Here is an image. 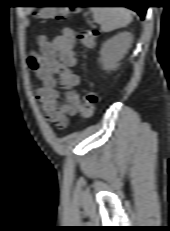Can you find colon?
Listing matches in <instances>:
<instances>
[{"instance_id": "5ec220e1", "label": "colon", "mask_w": 170, "mask_h": 231, "mask_svg": "<svg viewBox=\"0 0 170 231\" xmlns=\"http://www.w3.org/2000/svg\"><path fill=\"white\" fill-rule=\"evenodd\" d=\"M70 15V11L62 8H45L37 13V16L42 19H58L64 20ZM98 30L96 28L80 30L76 34L77 40L84 48H91L96 42ZM97 97L92 91L87 92L79 106V116L81 119L90 118L96 109Z\"/></svg>"}]
</instances>
